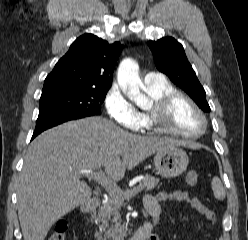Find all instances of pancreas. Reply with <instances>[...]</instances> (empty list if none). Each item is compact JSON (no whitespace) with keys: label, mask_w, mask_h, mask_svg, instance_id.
<instances>
[{"label":"pancreas","mask_w":248,"mask_h":240,"mask_svg":"<svg viewBox=\"0 0 248 240\" xmlns=\"http://www.w3.org/2000/svg\"><path fill=\"white\" fill-rule=\"evenodd\" d=\"M158 182V178L146 174L141 185L146 191H149L154 189ZM123 193V191H120L118 194L112 195L109 201L99 208L98 214L92 216L96 224L100 223L99 232L95 233V238L97 240H107V238L112 237V233L120 236L124 235L125 231L121 225L119 215V208L125 199ZM109 221L113 222L114 226L106 231L109 226Z\"/></svg>","instance_id":"1"}]
</instances>
